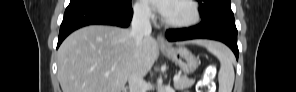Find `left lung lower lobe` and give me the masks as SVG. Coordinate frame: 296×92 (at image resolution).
<instances>
[{
  "mask_svg": "<svg viewBox=\"0 0 296 92\" xmlns=\"http://www.w3.org/2000/svg\"><path fill=\"white\" fill-rule=\"evenodd\" d=\"M168 41H182L197 38L218 40L228 45L238 59L237 29L234 18H222L214 25L205 28L200 24L190 28L166 31Z\"/></svg>",
  "mask_w": 296,
  "mask_h": 92,
  "instance_id": "1",
  "label": "left lung lower lobe"
}]
</instances>
